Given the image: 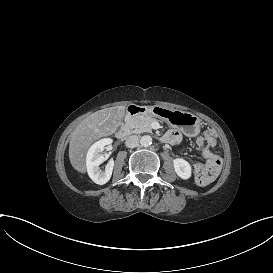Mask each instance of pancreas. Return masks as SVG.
<instances>
[{"label":"pancreas","mask_w":273,"mask_h":273,"mask_svg":"<svg viewBox=\"0 0 273 273\" xmlns=\"http://www.w3.org/2000/svg\"><path fill=\"white\" fill-rule=\"evenodd\" d=\"M126 125L132 129V133L141 134L143 132H152L151 124L157 122L158 120L150 116H136V117H126Z\"/></svg>","instance_id":"1"}]
</instances>
